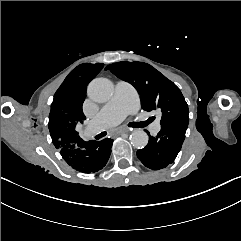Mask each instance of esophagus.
Masks as SVG:
<instances>
[{"mask_svg": "<svg viewBox=\"0 0 241 241\" xmlns=\"http://www.w3.org/2000/svg\"><path fill=\"white\" fill-rule=\"evenodd\" d=\"M128 132H129L128 128H122L120 130L115 131L114 135L115 134H121V133H128Z\"/></svg>", "mask_w": 241, "mask_h": 241, "instance_id": "34e87169", "label": "esophagus"}]
</instances>
